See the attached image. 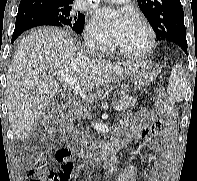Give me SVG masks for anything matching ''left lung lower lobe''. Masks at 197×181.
I'll return each instance as SVG.
<instances>
[{
    "label": "left lung lower lobe",
    "instance_id": "0a47b994",
    "mask_svg": "<svg viewBox=\"0 0 197 181\" xmlns=\"http://www.w3.org/2000/svg\"><path fill=\"white\" fill-rule=\"evenodd\" d=\"M172 42L178 44L181 47V49L187 54V41H186V37H177V38H174Z\"/></svg>",
    "mask_w": 197,
    "mask_h": 181
}]
</instances>
